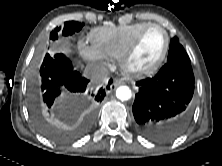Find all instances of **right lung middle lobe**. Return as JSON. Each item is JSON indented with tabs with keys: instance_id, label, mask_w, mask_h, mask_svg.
Instances as JSON below:
<instances>
[{
	"instance_id": "1",
	"label": "right lung middle lobe",
	"mask_w": 222,
	"mask_h": 166,
	"mask_svg": "<svg viewBox=\"0 0 222 166\" xmlns=\"http://www.w3.org/2000/svg\"><path fill=\"white\" fill-rule=\"evenodd\" d=\"M84 26V23H78L77 21H68L65 22L63 28L57 27L50 34V40L52 42L58 39L59 35L68 36L72 35L75 32L81 30ZM32 117L35 122V125L44 135L54 139V140H63L64 134L57 130L51 123L48 118L47 111L43 107H36L32 105Z\"/></svg>"
}]
</instances>
